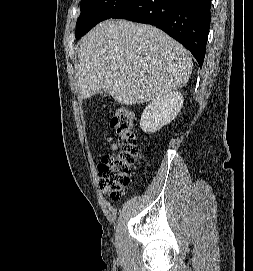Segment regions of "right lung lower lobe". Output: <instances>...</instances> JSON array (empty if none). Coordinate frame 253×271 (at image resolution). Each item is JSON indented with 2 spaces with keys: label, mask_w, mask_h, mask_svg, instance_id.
<instances>
[{
  "label": "right lung lower lobe",
  "mask_w": 253,
  "mask_h": 271,
  "mask_svg": "<svg viewBox=\"0 0 253 271\" xmlns=\"http://www.w3.org/2000/svg\"><path fill=\"white\" fill-rule=\"evenodd\" d=\"M211 0H130L111 18L154 25L190 50L202 67Z\"/></svg>",
  "instance_id": "98d812e1"
}]
</instances>
